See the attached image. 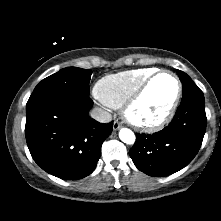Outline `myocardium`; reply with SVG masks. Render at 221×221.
Segmentation results:
<instances>
[{
	"mask_svg": "<svg viewBox=\"0 0 221 221\" xmlns=\"http://www.w3.org/2000/svg\"><path fill=\"white\" fill-rule=\"evenodd\" d=\"M163 74L170 75L175 80L176 86H177L176 94L170 107L168 108V110L166 111L164 115H162L159 119L155 121L148 122V121H140V120L135 119L132 115L133 109L140 102V100L144 96L145 92L147 91L151 83L158 76L163 75ZM181 96H182V83L180 79L178 78V76L170 70H166V69L157 70L153 74H151L149 77H147L139 85V87L133 92V94L126 100V102L122 106V113L127 123L130 124L135 129L140 130V131H145V132H155L163 128L173 118L178 108Z\"/></svg>",
	"mask_w": 221,
	"mask_h": 221,
	"instance_id": "myocardium-1",
	"label": "myocardium"
}]
</instances>
